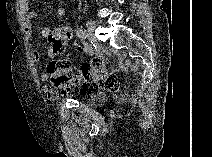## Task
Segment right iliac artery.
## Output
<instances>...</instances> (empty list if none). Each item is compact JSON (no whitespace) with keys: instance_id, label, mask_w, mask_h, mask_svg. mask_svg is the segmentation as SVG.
<instances>
[{"instance_id":"obj_1","label":"right iliac artery","mask_w":212,"mask_h":157,"mask_svg":"<svg viewBox=\"0 0 212 157\" xmlns=\"http://www.w3.org/2000/svg\"><path fill=\"white\" fill-rule=\"evenodd\" d=\"M77 37H79L80 39H85L88 37V32L87 30L84 29H80L76 32Z\"/></svg>"}]
</instances>
